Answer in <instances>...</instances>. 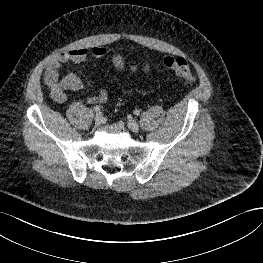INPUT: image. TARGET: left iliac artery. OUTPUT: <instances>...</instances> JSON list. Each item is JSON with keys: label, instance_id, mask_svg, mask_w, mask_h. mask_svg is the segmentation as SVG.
Instances as JSON below:
<instances>
[{"label": "left iliac artery", "instance_id": "left-iliac-artery-1", "mask_svg": "<svg viewBox=\"0 0 263 263\" xmlns=\"http://www.w3.org/2000/svg\"><path fill=\"white\" fill-rule=\"evenodd\" d=\"M134 114H135V115H139V114H140V111L136 109V110H134Z\"/></svg>", "mask_w": 263, "mask_h": 263}]
</instances>
